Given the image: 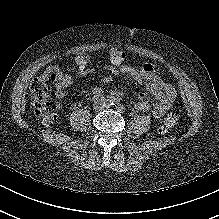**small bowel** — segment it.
Here are the masks:
<instances>
[{
    "label": "small bowel",
    "mask_w": 219,
    "mask_h": 219,
    "mask_svg": "<svg viewBox=\"0 0 219 219\" xmlns=\"http://www.w3.org/2000/svg\"><path fill=\"white\" fill-rule=\"evenodd\" d=\"M110 61L112 65L108 67V71L112 75L125 74L130 76L135 82L143 85L153 97L151 102L145 93H138L130 99L132 105L140 111H151L156 118L162 117L173 104L176 98V90L156 72L154 65L151 63H145L142 66L130 65L127 63V55L120 49L111 50ZM86 64L87 62L82 63L77 57L74 69L79 74H84ZM55 69L59 72V77L54 87V93L58 101H61L65 98V89L72 86L73 79L64 74L58 67H55ZM111 81V76H104L101 79L104 84ZM93 93L96 97H99L103 94V90L95 88ZM117 94L120 95L121 93L118 92ZM56 108L61 109L60 102L56 103Z\"/></svg>",
    "instance_id": "obj_1"
}]
</instances>
